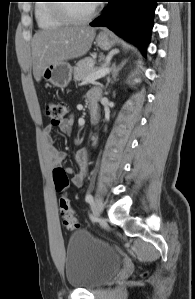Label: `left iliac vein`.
<instances>
[{"instance_id": "obj_1", "label": "left iliac vein", "mask_w": 195, "mask_h": 299, "mask_svg": "<svg viewBox=\"0 0 195 299\" xmlns=\"http://www.w3.org/2000/svg\"><path fill=\"white\" fill-rule=\"evenodd\" d=\"M102 210H103V204L100 199L96 198L92 202V212L94 216L98 217L102 213Z\"/></svg>"}]
</instances>
